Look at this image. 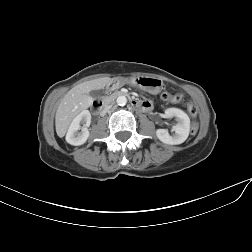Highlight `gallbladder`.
<instances>
[{
    "instance_id": "gallbladder-1",
    "label": "gallbladder",
    "mask_w": 252,
    "mask_h": 252,
    "mask_svg": "<svg viewBox=\"0 0 252 252\" xmlns=\"http://www.w3.org/2000/svg\"><path fill=\"white\" fill-rule=\"evenodd\" d=\"M100 94H101V91H100V90H93V91L90 92V95H91L92 97H97V96H99Z\"/></svg>"
}]
</instances>
